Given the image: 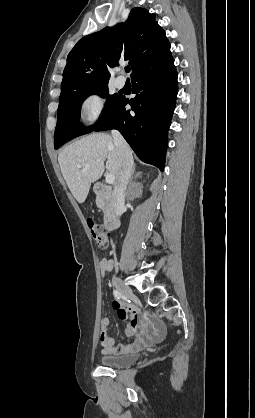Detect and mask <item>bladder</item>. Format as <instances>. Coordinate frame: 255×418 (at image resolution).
<instances>
[{
  "instance_id": "bladder-1",
  "label": "bladder",
  "mask_w": 255,
  "mask_h": 418,
  "mask_svg": "<svg viewBox=\"0 0 255 418\" xmlns=\"http://www.w3.org/2000/svg\"><path fill=\"white\" fill-rule=\"evenodd\" d=\"M139 355L137 353H129L124 355H106L100 358L103 366L111 368H122L133 364Z\"/></svg>"
}]
</instances>
